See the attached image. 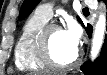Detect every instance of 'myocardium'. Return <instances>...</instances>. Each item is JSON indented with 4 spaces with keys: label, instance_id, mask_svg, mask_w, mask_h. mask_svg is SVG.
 Returning <instances> with one entry per match:
<instances>
[{
    "label": "myocardium",
    "instance_id": "obj_1",
    "mask_svg": "<svg viewBox=\"0 0 107 75\" xmlns=\"http://www.w3.org/2000/svg\"><path fill=\"white\" fill-rule=\"evenodd\" d=\"M61 28L53 23L46 24L37 34L34 42L35 52L38 57V59L49 69L53 70H68L73 67H75L80 58V54L78 51H76V54L72 61L61 64L55 61V59L52 56L51 49H50V33L55 30Z\"/></svg>",
    "mask_w": 107,
    "mask_h": 75
}]
</instances>
